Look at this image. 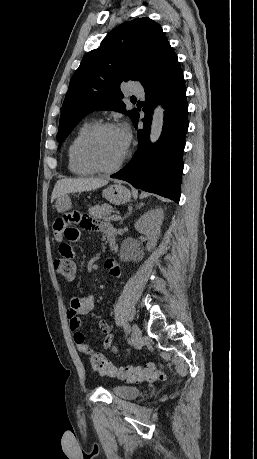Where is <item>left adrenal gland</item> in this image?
<instances>
[{
	"label": "left adrenal gland",
	"mask_w": 257,
	"mask_h": 459,
	"mask_svg": "<svg viewBox=\"0 0 257 459\" xmlns=\"http://www.w3.org/2000/svg\"><path fill=\"white\" fill-rule=\"evenodd\" d=\"M142 205H143L142 203H141V204H137L135 207L137 208V207L142 206ZM131 212H132V207L130 206V207H129V212L120 220L119 225L122 224L123 220H124L127 216H129V215L131 214Z\"/></svg>",
	"instance_id": "1"
}]
</instances>
